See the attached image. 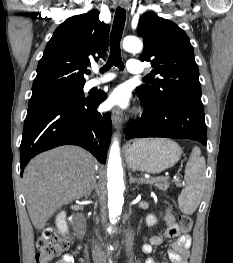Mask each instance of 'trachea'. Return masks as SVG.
Segmentation results:
<instances>
[{"instance_id":"trachea-1","label":"trachea","mask_w":233,"mask_h":263,"mask_svg":"<svg viewBox=\"0 0 233 263\" xmlns=\"http://www.w3.org/2000/svg\"><path fill=\"white\" fill-rule=\"evenodd\" d=\"M125 20V10L118 7L114 16L113 29L110 34V55L101 72H106L113 65L117 66L121 71L124 69V64L121 59L120 40L122 38ZM144 80L147 81L149 78H144Z\"/></svg>"}]
</instances>
